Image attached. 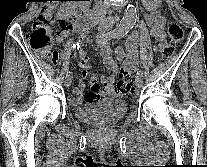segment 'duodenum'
<instances>
[{
  "instance_id": "obj_1",
  "label": "duodenum",
  "mask_w": 207,
  "mask_h": 167,
  "mask_svg": "<svg viewBox=\"0 0 207 167\" xmlns=\"http://www.w3.org/2000/svg\"><path fill=\"white\" fill-rule=\"evenodd\" d=\"M84 23L87 27L93 26L96 23V11L94 10L85 11Z\"/></svg>"
}]
</instances>
